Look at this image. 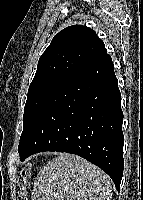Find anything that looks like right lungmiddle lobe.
Wrapping results in <instances>:
<instances>
[{"mask_svg": "<svg viewBox=\"0 0 143 200\" xmlns=\"http://www.w3.org/2000/svg\"><path fill=\"white\" fill-rule=\"evenodd\" d=\"M67 77L68 76L66 75H51L32 81L29 86L27 101L24 108L23 132L20 137L19 146L23 142L27 134L28 127L30 126L39 108Z\"/></svg>", "mask_w": 143, "mask_h": 200, "instance_id": "1", "label": "right lung middle lobe"}]
</instances>
